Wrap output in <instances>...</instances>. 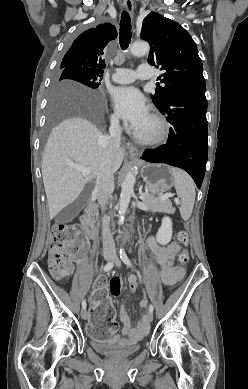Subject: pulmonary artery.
I'll return each mask as SVG.
<instances>
[{
    "instance_id": "e3ab8cb5",
    "label": "pulmonary artery",
    "mask_w": 248,
    "mask_h": 389,
    "mask_svg": "<svg viewBox=\"0 0 248 389\" xmlns=\"http://www.w3.org/2000/svg\"><path fill=\"white\" fill-rule=\"evenodd\" d=\"M136 78L148 80L152 78V69L151 66L147 63H142L139 65L137 71L127 69V68H118L115 73L111 76V79L120 84H126L133 82Z\"/></svg>"
}]
</instances>
